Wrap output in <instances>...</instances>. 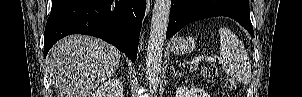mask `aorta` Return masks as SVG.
Segmentation results:
<instances>
[{"label": "aorta", "instance_id": "aorta-1", "mask_svg": "<svg viewBox=\"0 0 302 97\" xmlns=\"http://www.w3.org/2000/svg\"><path fill=\"white\" fill-rule=\"evenodd\" d=\"M170 7L171 0H155L146 57V74L151 91L157 90L160 81L162 52L168 27Z\"/></svg>", "mask_w": 302, "mask_h": 97}]
</instances>
